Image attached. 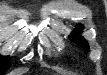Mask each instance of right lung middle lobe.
Segmentation results:
<instances>
[{
    "mask_svg": "<svg viewBox=\"0 0 107 75\" xmlns=\"http://www.w3.org/2000/svg\"><path fill=\"white\" fill-rule=\"evenodd\" d=\"M10 67L9 57H1L0 58V74L4 73Z\"/></svg>",
    "mask_w": 107,
    "mask_h": 75,
    "instance_id": "dd1d6c3e",
    "label": "right lung middle lobe"
}]
</instances>
